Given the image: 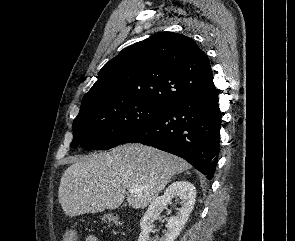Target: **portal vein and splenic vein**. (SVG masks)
<instances>
[{
  "mask_svg": "<svg viewBox=\"0 0 295 241\" xmlns=\"http://www.w3.org/2000/svg\"><path fill=\"white\" fill-rule=\"evenodd\" d=\"M142 188L143 187H141V186L133 185L128 189V191H129V193L133 194V193L139 192Z\"/></svg>",
  "mask_w": 295,
  "mask_h": 241,
  "instance_id": "portal-vein-and-splenic-vein-1",
  "label": "portal vein and splenic vein"
}]
</instances>
